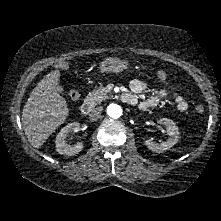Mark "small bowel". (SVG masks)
Wrapping results in <instances>:
<instances>
[{"mask_svg":"<svg viewBox=\"0 0 221 221\" xmlns=\"http://www.w3.org/2000/svg\"><path fill=\"white\" fill-rule=\"evenodd\" d=\"M165 72L164 71H160L159 72V76L160 77H164L165 76ZM146 86L145 84L140 81V80H133L130 83V89H131V93L135 99H136V104H138L139 109L141 110H149L151 108L156 107L160 102H162L164 99H166L168 97V91L166 89H160L159 91L156 92V94L148 97L145 100H142L140 102H138V95H140L144 90H145ZM174 101L176 104V108L178 111L180 112H186L189 108V104L188 102L181 96H175L174 97Z\"/></svg>","mask_w":221,"mask_h":221,"instance_id":"1","label":"small bowel"}]
</instances>
